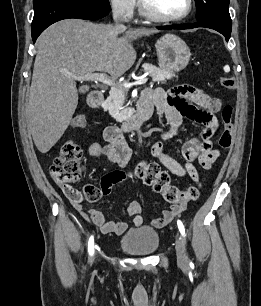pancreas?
<instances>
[{
	"label": "pancreas",
	"instance_id": "obj_1",
	"mask_svg": "<svg viewBox=\"0 0 261 306\" xmlns=\"http://www.w3.org/2000/svg\"><path fill=\"white\" fill-rule=\"evenodd\" d=\"M143 69L145 72L150 73L153 82L164 83L175 77L173 71L160 69L154 65L144 64ZM128 91L129 88L123 87L122 85L113 87L104 103L105 110H108L109 114L118 122L125 121L129 114V109H124Z\"/></svg>",
	"mask_w": 261,
	"mask_h": 306
}]
</instances>
